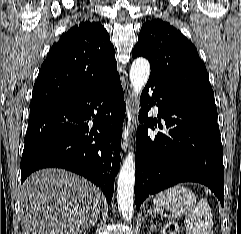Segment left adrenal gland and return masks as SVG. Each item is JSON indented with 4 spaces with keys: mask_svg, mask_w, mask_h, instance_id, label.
Here are the masks:
<instances>
[{
    "mask_svg": "<svg viewBox=\"0 0 241 234\" xmlns=\"http://www.w3.org/2000/svg\"><path fill=\"white\" fill-rule=\"evenodd\" d=\"M154 230H155V225L151 224L149 234H151V232L154 231Z\"/></svg>",
    "mask_w": 241,
    "mask_h": 234,
    "instance_id": "1",
    "label": "left adrenal gland"
}]
</instances>
